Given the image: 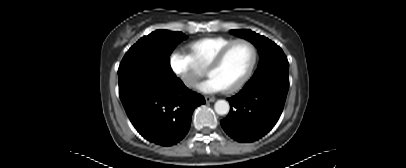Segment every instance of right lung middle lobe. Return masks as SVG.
<instances>
[{
	"label": "right lung middle lobe",
	"mask_w": 406,
	"mask_h": 168,
	"mask_svg": "<svg viewBox=\"0 0 406 168\" xmlns=\"http://www.w3.org/2000/svg\"><path fill=\"white\" fill-rule=\"evenodd\" d=\"M187 36L181 32L157 30L142 37L125 54L118 69L119 95L175 78L169 55Z\"/></svg>",
	"instance_id": "dd1d6c3e"
}]
</instances>
